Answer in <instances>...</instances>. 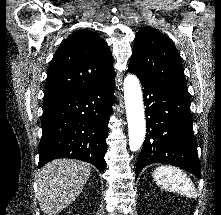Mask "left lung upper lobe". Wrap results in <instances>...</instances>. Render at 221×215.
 Wrapping results in <instances>:
<instances>
[{
    "mask_svg": "<svg viewBox=\"0 0 221 215\" xmlns=\"http://www.w3.org/2000/svg\"><path fill=\"white\" fill-rule=\"evenodd\" d=\"M128 70L163 88L188 96L179 53L171 40L155 28L145 27L136 34Z\"/></svg>",
    "mask_w": 221,
    "mask_h": 215,
    "instance_id": "5c2ea615",
    "label": "left lung upper lobe"
}]
</instances>
